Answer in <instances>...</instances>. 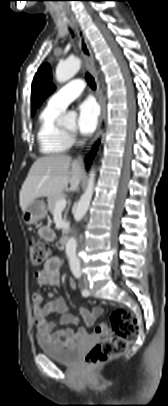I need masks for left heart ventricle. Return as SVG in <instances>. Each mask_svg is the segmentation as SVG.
Listing matches in <instances>:
<instances>
[{"instance_id": "b2bd125f", "label": "left heart ventricle", "mask_w": 168, "mask_h": 406, "mask_svg": "<svg viewBox=\"0 0 168 406\" xmlns=\"http://www.w3.org/2000/svg\"><path fill=\"white\" fill-rule=\"evenodd\" d=\"M74 127H75V122H74V121H71L65 128H66L67 130H73Z\"/></svg>"}]
</instances>
